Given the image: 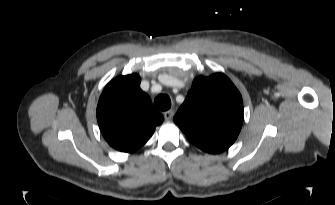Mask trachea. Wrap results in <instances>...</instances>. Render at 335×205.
Masks as SVG:
<instances>
[{"mask_svg":"<svg viewBox=\"0 0 335 205\" xmlns=\"http://www.w3.org/2000/svg\"><path fill=\"white\" fill-rule=\"evenodd\" d=\"M154 105L161 111H166L171 107L170 97L166 94L157 96L154 100Z\"/></svg>","mask_w":335,"mask_h":205,"instance_id":"obj_1","label":"trachea"}]
</instances>
